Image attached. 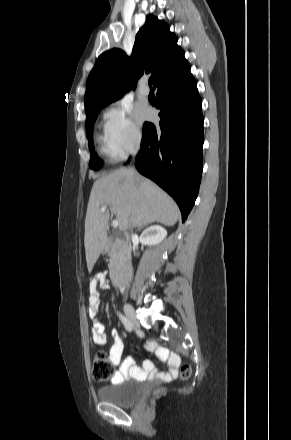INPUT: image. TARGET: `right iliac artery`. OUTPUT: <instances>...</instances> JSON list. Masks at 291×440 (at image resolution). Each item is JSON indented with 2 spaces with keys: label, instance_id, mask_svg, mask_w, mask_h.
Here are the masks:
<instances>
[{
  "label": "right iliac artery",
  "instance_id": "82829eb1",
  "mask_svg": "<svg viewBox=\"0 0 291 440\" xmlns=\"http://www.w3.org/2000/svg\"><path fill=\"white\" fill-rule=\"evenodd\" d=\"M119 317H120V320L122 321L124 327L126 328V330L131 331L133 328L131 321L122 314H119Z\"/></svg>",
  "mask_w": 291,
  "mask_h": 440
}]
</instances>
